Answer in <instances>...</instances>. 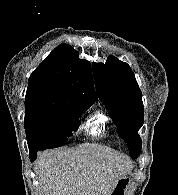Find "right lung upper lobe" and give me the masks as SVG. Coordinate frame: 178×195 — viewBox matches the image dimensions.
<instances>
[{"label": "right lung upper lobe", "mask_w": 178, "mask_h": 195, "mask_svg": "<svg viewBox=\"0 0 178 195\" xmlns=\"http://www.w3.org/2000/svg\"><path fill=\"white\" fill-rule=\"evenodd\" d=\"M46 99L94 103L91 65L68 44L56 47L32 72L25 100Z\"/></svg>", "instance_id": "right-lung-upper-lobe-1"}]
</instances>
